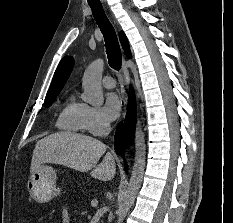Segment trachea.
<instances>
[{"mask_svg": "<svg viewBox=\"0 0 233 223\" xmlns=\"http://www.w3.org/2000/svg\"><path fill=\"white\" fill-rule=\"evenodd\" d=\"M89 5L92 9L96 23L104 36L109 65L114 70H120L122 65V55L115 30L107 19L100 2L90 3Z\"/></svg>", "mask_w": 233, "mask_h": 223, "instance_id": "trachea-1", "label": "trachea"}]
</instances>
